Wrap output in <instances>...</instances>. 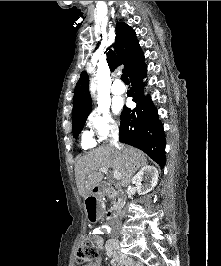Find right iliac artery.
<instances>
[{"label": "right iliac artery", "instance_id": "82829eb1", "mask_svg": "<svg viewBox=\"0 0 221 266\" xmlns=\"http://www.w3.org/2000/svg\"><path fill=\"white\" fill-rule=\"evenodd\" d=\"M94 234H101L100 230L96 229L93 231Z\"/></svg>", "mask_w": 221, "mask_h": 266}]
</instances>
